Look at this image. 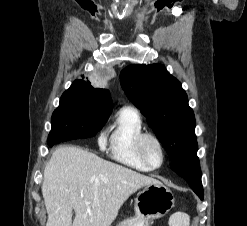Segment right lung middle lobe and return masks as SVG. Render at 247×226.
I'll return each instance as SVG.
<instances>
[{
  "label": "right lung middle lobe",
  "instance_id": "right-lung-middle-lobe-1",
  "mask_svg": "<svg viewBox=\"0 0 247 226\" xmlns=\"http://www.w3.org/2000/svg\"><path fill=\"white\" fill-rule=\"evenodd\" d=\"M109 115L95 98L67 90L53 112L48 144L92 137L102 129Z\"/></svg>",
  "mask_w": 247,
  "mask_h": 226
}]
</instances>
